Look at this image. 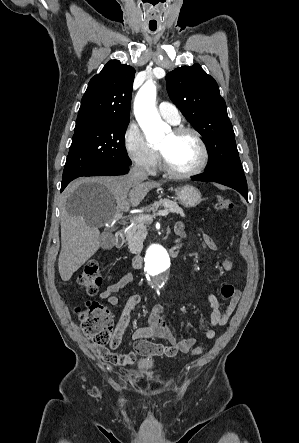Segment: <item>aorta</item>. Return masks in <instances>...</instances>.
<instances>
[{
  "instance_id": "obj_1",
  "label": "aorta",
  "mask_w": 299,
  "mask_h": 443,
  "mask_svg": "<svg viewBox=\"0 0 299 443\" xmlns=\"http://www.w3.org/2000/svg\"><path fill=\"white\" fill-rule=\"evenodd\" d=\"M156 86L152 80L146 81L139 89L134 100V114L147 141L156 144L170 131L162 121L156 106ZM170 267V258L160 244H152L146 255L145 269L153 277H158Z\"/></svg>"
}]
</instances>
